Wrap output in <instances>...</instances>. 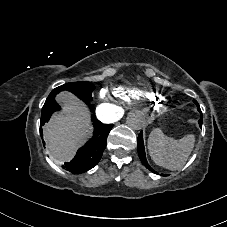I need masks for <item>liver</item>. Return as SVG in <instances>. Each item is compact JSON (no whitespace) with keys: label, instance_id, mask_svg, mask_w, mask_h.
Segmentation results:
<instances>
[{"label":"liver","instance_id":"obj_1","mask_svg":"<svg viewBox=\"0 0 227 227\" xmlns=\"http://www.w3.org/2000/svg\"><path fill=\"white\" fill-rule=\"evenodd\" d=\"M59 99L66 103L65 110L44 129L49 153L56 162L70 160L88 130L87 114L81 103L66 93Z\"/></svg>","mask_w":227,"mask_h":227}]
</instances>
